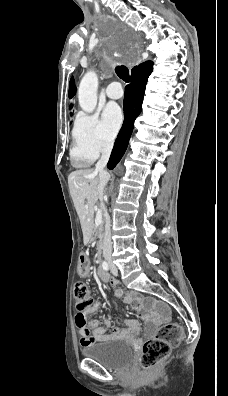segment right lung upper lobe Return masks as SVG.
<instances>
[{
	"label": "right lung upper lobe",
	"instance_id": "right-lung-upper-lobe-1",
	"mask_svg": "<svg viewBox=\"0 0 228 396\" xmlns=\"http://www.w3.org/2000/svg\"><path fill=\"white\" fill-rule=\"evenodd\" d=\"M136 67H134L132 70H134ZM76 93V86L74 83V79L71 78L70 80V85H69V98H72Z\"/></svg>",
	"mask_w": 228,
	"mask_h": 396
}]
</instances>
